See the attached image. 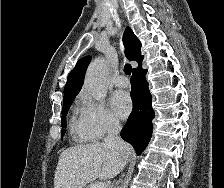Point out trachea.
<instances>
[{"label":"trachea","instance_id":"trachea-1","mask_svg":"<svg viewBox=\"0 0 224 188\" xmlns=\"http://www.w3.org/2000/svg\"><path fill=\"white\" fill-rule=\"evenodd\" d=\"M124 71L127 75H131V72H132V67L130 64H125L124 66Z\"/></svg>","mask_w":224,"mask_h":188}]
</instances>
